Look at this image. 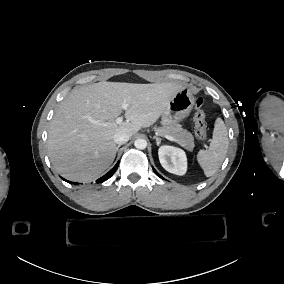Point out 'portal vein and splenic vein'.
Returning a JSON list of instances; mask_svg holds the SVG:
<instances>
[{
  "label": "portal vein and splenic vein",
  "mask_w": 284,
  "mask_h": 284,
  "mask_svg": "<svg viewBox=\"0 0 284 284\" xmlns=\"http://www.w3.org/2000/svg\"><path fill=\"white\" fill-rule=\"evenodd\" d=\"M128 108H129V105H128L126 102H123V103H122V109H123V111H127ZM123 120H124V117H123V116H119V117H117L116 122H117V123H122ZM166 138H167L168 140H170V141L179 143V139H178V138H175V137H173V136H171V135H167ZM203 147L208 148V145H207L206 143H203Z\"/></svg>",
  "instance_id": "1"
}]
</instances>
